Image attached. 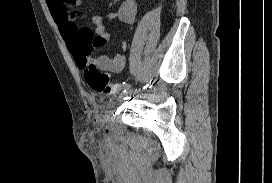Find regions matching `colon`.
Returning a JSON list of instances; mask_svg holds the SVG:
<instances>
[{
    "mask_svg": "<svg viewBox=\"0 0 272 183\" xmlns=\"http://www.w3.org/2000/svg\"><path fill=\"white\" fill-rule=\"evenodd\" d=\"M88 86L96 93L109 95L117 91L118 86L113 83L110 77L94 66H89L84 72Z\"/></svg>",
    "mask_w": 272,
    "mask_h": 183,
    "instance_id": "obj_1",
    "label": "colon"
}]
</instances>
